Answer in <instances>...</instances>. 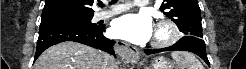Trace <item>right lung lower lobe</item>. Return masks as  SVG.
Instances as JSON below:
<instances>
[{
	"instance_id": "1",
	"label": "right lung lower lobe",
	"mask_w": 246,
	"mask_h": 69,
	"mask_svg": "<svg viewBox=\"0 0 246 69\" xmlns=\"http://www.w3.org/2000/svg\"><path fill=\"white\" fill-rule=\"evenodd\" d=\"M104 25L47 23L40 25L35 59L48 47L64 41L79 42L115 55L114 40L103 36Z\"/></svg>"
}]
</instances>
